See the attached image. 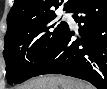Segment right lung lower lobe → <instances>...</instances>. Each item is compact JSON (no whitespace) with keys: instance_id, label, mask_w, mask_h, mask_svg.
<instances>
[{"instance_id":"98d812e1","label":"right lung lower lobe","mask_w":107,"mask_h":89,"mask_svg":"<svg viewBox=\"0 0 107 89\" xmlns=\"http://www.w3.org/2000/svg\"><path fill=\"white\" fill-rule=\"evenodd\" d=\"M68 12L75 13L81 38L72 40L68 26L33 77L63 74L107 89V0H77Z\"/></svg>"}]
</instances>
